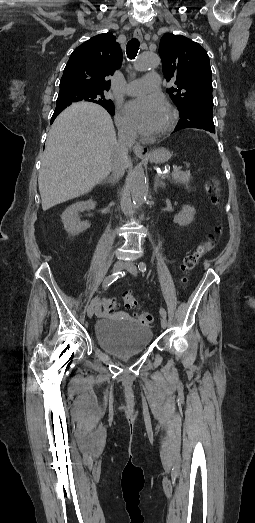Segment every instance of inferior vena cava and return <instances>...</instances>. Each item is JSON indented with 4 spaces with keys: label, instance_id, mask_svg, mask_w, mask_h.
Here are the masks:
<instances>
[{
    "label": "inferior vena cava",
    "instance_id": "inferior-vena-cava-1",
    "mask_svg": "<svg viewBox=\"0 0 255 523\" xmlns=\"http://www.w3.org/2000/svg\"><path fill=\"white\" fill-rule=\"evenodd\" d=\"M136 138L135 130H131V128L126 126V124L118 126L117 156L112 168V176L114 180H119V178L124 176L128 164V150L129 148H132Z\"/></svg>",
    "mask_w": 255,
    "mask_h": 523
}]
</instances>
